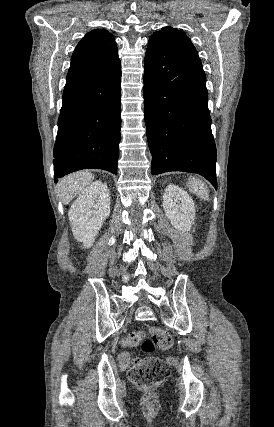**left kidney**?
Listing matches in <instances>:
<instances>
[{
    "label": "left kidney",
    "mask_w": 274,
    "mask_h": 427,
    "mask_svg": "<svg viewBox=\"0 0 274 427\" xmlns=\"http://www.w3.org/2000/svg\"><path fill=\"white\" fill-rule=\"evenodd\" d=\"M164 212L177 231H190L195 219L194 202L179 186H167L163 194Z\"/></svg>",
    "instance_id": "1"
}]
</instances>
